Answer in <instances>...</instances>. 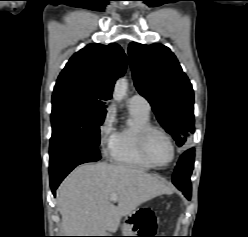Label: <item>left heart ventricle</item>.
<instances>
[{"label":"left heart ventricle","instance_id":"left-heart-ventricle-1","mask_svg":"<svg viewBox=\"0 0 248 237\" xmlns=\"http://www.w3.org/2000/svg\"><path fill=\"white\" fill-rule=\"evenodd\" d=\"M147 152L154 163L163 165L171 157V146L162 134L153 132L147 140Z\"/></svg>","mask_w":248,"mask_h":237}]
</instances>
